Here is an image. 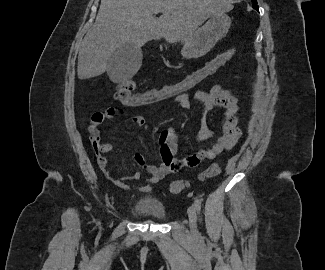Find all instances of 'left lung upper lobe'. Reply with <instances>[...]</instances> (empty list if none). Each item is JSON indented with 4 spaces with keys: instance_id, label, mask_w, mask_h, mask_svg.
<instances>
[{
    "instance_id": "left-lung-upper-lobe-1",
    "label": "left lung upper lobe",
    "mask_w": 325,
    "mask_h": 270,
    "mask_svg": "<svg viewBox=\"0 0 325 270\" xmlns=\"http://www.w3.org/2000/svg\"><path fill=\"white\" fill-rule=\"evenodd\" d=\"M253 3V8L258 10V6H257V0H251Z\"/></svg>"
}]
</instances>
